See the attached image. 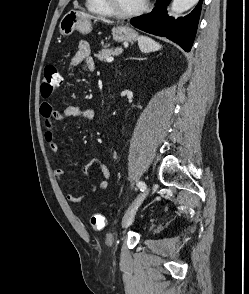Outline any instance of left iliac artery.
<instances>
[{
    "instance_id": "left-iliac-artery-1",
    "label": "left iliac artery",
    "mask_w": 249,
    "mask_h": 294,
    "mask_svg": "<svg viewBox=\"0 0 249 294\" xmlns=\"http://www.w3.org/2000/svg\"><path fill=\"white\" fill-rule=\"evenodd\" d=\"M137 186H138V188H139L141 191H144L145 188H146L145 183L142 182V181H139V182L137 183Z\"/></svg>"
}]
</instances>
